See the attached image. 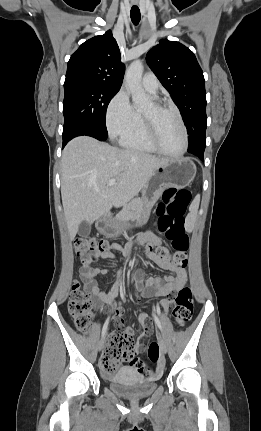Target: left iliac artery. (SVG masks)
Returning <instances> with one entry per match:
<instances>
[{
  "mask_svg": "<svg viewBox=\"0 0 261 431\" xmlns=\"http://www.w3.org/2000/svg\"><path fill=\"white\" fill-rule=\"evenodd\" d=\"M153 317H154V320H155V323H156L157 327H158L160 330H162L161 322H160V320H159L158 316H157L155 313H153Z\"/></svg>",
  "mask_w": 261,
  "mask_h": 431,
  "instance_id": "44dca946",
  "label": "left iliac artery"
}]
</instances>
